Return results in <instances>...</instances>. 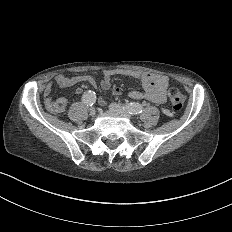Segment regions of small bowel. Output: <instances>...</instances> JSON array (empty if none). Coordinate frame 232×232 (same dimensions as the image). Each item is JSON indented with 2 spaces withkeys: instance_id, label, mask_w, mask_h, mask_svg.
Listing matches in <instances>:
<instances>
[{
  "instance_id": "obj_1",
  "label": "small bowel",
  "mask_w": 232,
  "mask_h": 232,
  "mask_svg": "<svg viewBox=\"0 0 232 232\" xmlns=\"http://www.w3.org/2000/svg\"><path fill=\"white\" fill-rule=\"evenodd\" d=\"M114 76H128L139 83H141L146 88V94L138 90H129L128 96L130 98L139 99L142 97H146L148 100L156 102V103H164L166 101V92L172 86L171 80L160 73H148L139 69H105L101 71V79L100 85L104 92L111 91V80ZM56 84H58L62 88H67L74 86L80 82H87L92 86L96 87L98 81L95 78H72L68 77L65 74H57L54 77ZM54 85L53 83H48L45 87V93L50 95L53 93ZM82 88H76V93H81ZM110 95L112 97H119V93L117 91H111ZM103 106H106L103 104Z\"/></svg>"
}]
</instances>
